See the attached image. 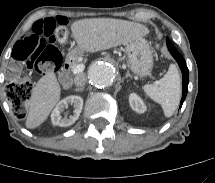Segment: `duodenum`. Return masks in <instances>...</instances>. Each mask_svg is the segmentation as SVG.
I'll return each instance as SVG.
<instances>
[{
  "label": "duodenum",
  "mask_w": 215,
  "mask_h": 183,
  "mask_svg": "<svg viewBox=\"0 0 215 183\" xmlns=\"http://www.w3.org/2000/svg\"><path fill=\"white\" fill-rule=\"evenodd\" d=\"M73 62L71 59H67L64 64L63 67L59 73V79L61 82V85L63 86V88L65 89H69L72 86V76L70 73V70L72 68Z\"/></svg>",
  "instance_id": "obj_1"
}]
</instances>
